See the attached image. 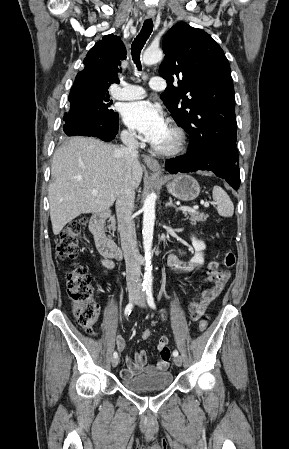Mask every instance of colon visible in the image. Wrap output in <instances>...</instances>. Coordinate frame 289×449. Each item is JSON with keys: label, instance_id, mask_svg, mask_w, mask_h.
<instances>
[{"label": "colon", "instance_id": "colon-1", "mask_svg": "<svg viewBox=\"0 0 289 449\" xmlns=\"http://www.w3.org/2000/svg\"><path fill=\"white\" fill-rule=\"evenodd\" d=\"M85 224V219H76L61 231L56 242V253L60 258L68 260L76 258ZM235 262V254L228 251L223 259L224 266L232 268ZM90 282L89 272L81 265H74L67 274V293L72 302L74 315L79 325L87 333L93 332L99 314L98 307L93 299ZM207 326L208 321L206 319L199 321L200 331L206 330ZM150 336V330L143 331L142 338L144 340L149 339Z\"/></svg>", "mask_w": 289, "mask_h": 449}]
</instances>
